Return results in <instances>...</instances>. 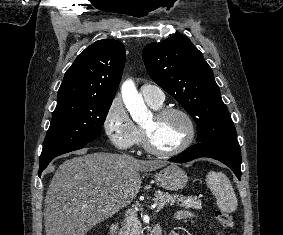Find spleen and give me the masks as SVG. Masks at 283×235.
Listing matches in <instances>:
<instances>
[{
    "mask_svg": "<svg viewBox=\"0 0 283 235\" xmlns=\"http://www.w3.org/2000/svg\"><path fill=\"white\" fill-rule=\"evenodd\" d=\"M206 184L216 197L217 206L223 212L232 213L237 209V198L231 182L222 172L210 171L206 175Z\"/></svg>",
    "mask_w": 283,
    "mask_h": 235,
    "instance_id": "3e777b00",
    "label": "spleen"
}]
</instances>
